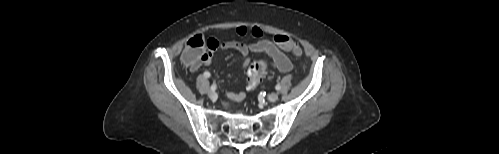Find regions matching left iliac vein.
Instances as JSON below:
<instances>
[{
    "label": "left iliac vein",
    "instance_id": "left-iliac-vein-1",
    "mask_svg": "<svg viewBox=\"0 0 499 154\" xmlns=\"http://www.w3.org/2000/svg\"><path fill=\"white\" fill-rule=\"evenodd\" d=\"M279 98V95L278 93L274 92V93H271L269 96H268V101L270 102H275L277 101Z\"/></svg>",
    "mask_w": 499,
    "mask_h": 154
}]
</instances>
